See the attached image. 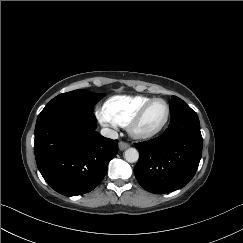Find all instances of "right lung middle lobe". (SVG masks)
<instances>
[{
  "mask_svg": "<svg viewBox=\"0 0 243 243\" xmlns=\"http://www.w3.org/2000/svg\"><path fill=\"white\" fill-rule=\"evenodd\" d=\"M104 96L105 94H94L85 89L63 93L53 98L40 114L57 108L75 109L93 113L95 104Z\"/></svg>",
  "mask_w": 243,
  "mask_h": 243,
  "instance_id": "right-lung-middle-lobe-1",
  "label": "right lung middle lobe"
}]
</instances>
